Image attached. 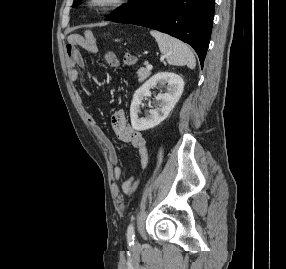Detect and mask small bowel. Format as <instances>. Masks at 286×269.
<instances>
[{
	"instance_id": "c3829d8e",
	"label": "small bowel",
	"mask_w": 286,
	"mask_h": 269,
	"mask_svg": "<svg viewBox=\"0 0 286 269\" xmlns=\"http://www.w3.org/2000/svg\"><path fill=\"white\" fill-rule=\"evenodd\" d=\"M83 46L90 52L95 53L97 52V47L91 41L90 43L83 42ZM66 58L69 66V77L72 82H77L79 80V68H83L85 66V59L83 56L78 52L76 47L75 39L72 38L69 44L66 47ZM103 63L111 66L117 67L119 66V60L117 56L111 52L106 51L103 53L102 56ZM87 122L93 132L97 135V137L104 143L105 147L108 151L109 161L112 164L118 163V154L110 141L105 137L104 133L98 126L95 118L90 114L87 113L86 115ZM111 125L119 137V139L125 143L130 144L134 149L138 152V168L144 170L148 165V151H147V142L141 132L133 129L126 118V114L123 110H117L113 113L111 118ZM123 168L120 166H116L113 171L114 179L116 183H119L120 177L122 175ZM140 184V180L136 177L135 174L130 175L123 183L122 189L126 193L134 192Z\"/></svg>"
}]
</instances>
